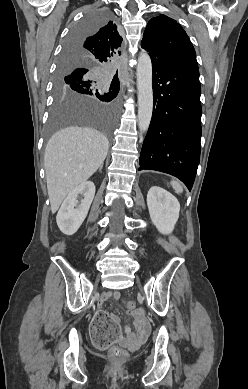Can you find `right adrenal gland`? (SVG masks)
<instances>
[{
  "mask_svg": "<svg viewBox=\"0 0 248 389\" xmlns=\"http://www.w3.org/2000/svg\"><path fill=\"white\" fill-rule=\"evenodd\" d=\"M102 167H103V165H101V166L99 167V171H101V170H102Z\"/></svg>",
  "mask_w": 248,
  "mask_h": 389,
  "instance_id": "obj_1",
  "label": "right adrenal gland"
}]
</instances>
